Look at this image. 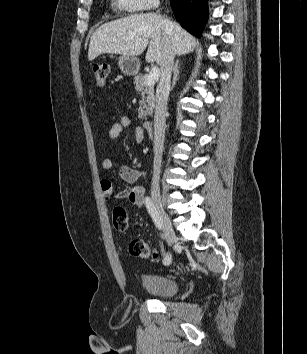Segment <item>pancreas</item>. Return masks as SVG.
Segmentation results:
<instances>
[{"instance_id": "pancreas-1", "label": "pancreas", "mask_w": 307, "mask_h": 354, "mask_svg": "<svg viewBox=\"0 0 307 354\" xmlns=\"http://www.w3.org/2000/svg\"><path fill=\"white\" fill-rule=\"evenodd\" d=\"M146 78L147 75L139 74L134 79L135 90L141 98L139 101L140 107L138 109V118L141 120H144L147 116L152 115L155 107L154 84L147 85L145 83Z\"/></svg>"}]
</instances>
